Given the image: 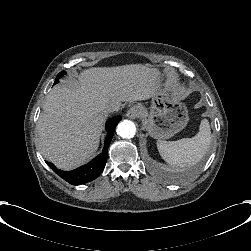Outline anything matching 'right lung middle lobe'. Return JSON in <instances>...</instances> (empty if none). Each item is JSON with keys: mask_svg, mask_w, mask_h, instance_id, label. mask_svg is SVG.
Returning <instances> with one entry per match:
<instances>
[{"mask_svg": "<svg viewBox=\"0 0 251 251\" xmlns=\"http://www.w3.org/2000/svg\"><path fill=\"white\" fill-rule=\"evenodd\" d=\"M65 73H66L65 71L60 72V73L57 75L56 81H55L54 84L58 83V79L61 78Z\"/></svg>", "mask_w": 251, "mask_h": 251, "instance_id": "dd1d6c3e", "label": "right lung middle lobe"}]
</instances>
